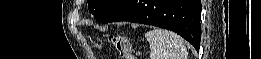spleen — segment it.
Here are the masks:
<instances>
[{"label": "spleen", "mask_w": 261, "mask_h": 59, "mask_svg": "<svg viewBox=\"0 0 261 59\" xmlns=\"http://www.w3.org/2000/svg\"><path fill=\"white\" fill-rule=\"evenodd\" d=\"M152 59H187L184 40L177 34L163 29H153L145 34Z\"/></svg>", "instance_id": "3e777b00"}]
</instances>
